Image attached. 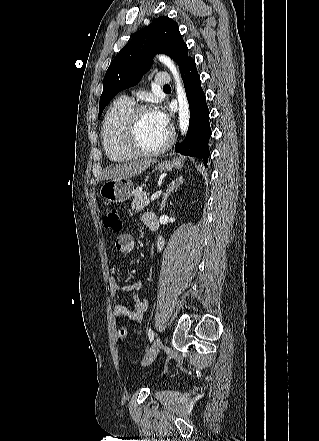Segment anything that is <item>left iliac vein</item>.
Here are the masks:
<instances>
[{"mask_svg": "<svg viewBox=\"0 0 319 441\" xmlns=\"http://www.w3.org/2000/svg\"><path fill=\"white\" fill-rule=\"evenodd\" d=\"M161 346H162V341L160 337L157 336L142 360L143 366L149 365L153 362V360L157 357Z\"/></svg>", "mask_w": 319, "mask_h": 441, "instance_id": "1", "label": "left iliac vein"}]
</instances>
